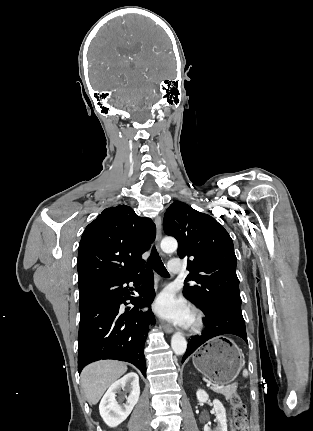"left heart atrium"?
Instances as JSON below:
<instances>
[{
	"label": "left heart atrium",
	"mask_w": 313,
	"mask_h": 431,
	"mask_svg": "<svg viewBox=\"0 0 313 431\" xmlns=\"http://www.w3.org/2000/svg\"><path fill=\"white\" fill-rule=\"evenodd\" d=\"M155 312L164 319L186 325L190 320V311L186 303L172 292L164 291L154 303Z\"/></svg>",
	"instance_id": "obj_1"
}]
</instances>
